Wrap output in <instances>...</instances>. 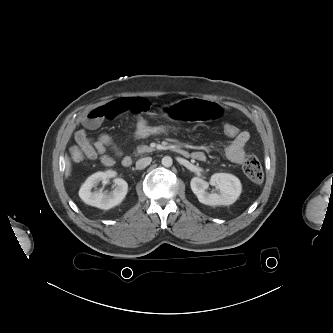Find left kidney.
Segmentation results:
<instances>
[{"label":"left kidney","instance_id":"1","mask_svg":"<svg viewBox=\"0 0 333 333\" xmlns=\"http://www.w3.org/2000/svg\"><path fill=\"white\" fill-rule=\"evenodd\" d=\"M218 192H207L209 183L205 180L194 177L190 186L193 193L197 196L199 202L209 206L231 205L241 194L242 186L240 180L227 173H215L212 175Z\"/></svg>","mask_w":333,"mask_h":333}]
</instances>
